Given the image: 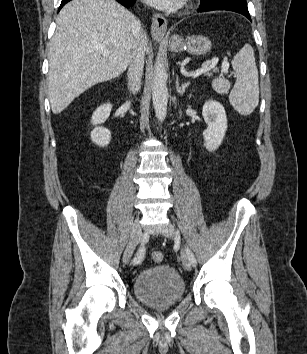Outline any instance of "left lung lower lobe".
Wrapping results in <instances>:
<instances>
[{"mask_svg":"<svg viewBox=\"0 0 307 354\" xmlns=\"http://www.w3.org/2000/svg\"><path fill=\"white\" fill-rule=\"evenodd\" d=\"M213 10L234 11L244 15L249 20H251L246 0L211 1L206 3L201 2L198 11L207 12Z\"/></svg>","mask_w":307,"mask_h":354,"instance_id":"1","label":"left lung lower lobe"}]
</instances>
